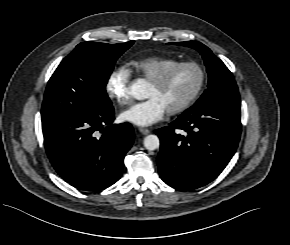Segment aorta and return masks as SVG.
<instances>
[{
    "label": "aorta",
    "instance_id": "1",
    "mask_svg": "<svg viewBox=\"0 0 290 245\" xmlns=\"http://www.w3.org/2000/svg\"><path fill=\"white\" fill-rule=\"evenodd\" d=\"M130 92L135 99H145L147 97V83L143 79H138L131 85ZM159 146L160 140L157 135L151 134L144 138V147L147 150H156Z\"/></svg>",
    "mask_w": 290,
    "mask_h": 245
}]
</instances>
